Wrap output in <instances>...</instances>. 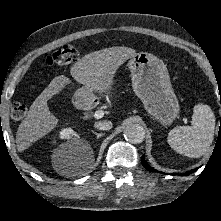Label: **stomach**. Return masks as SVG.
<instances>
[{
  "mask_svg": "<svg viewBox=\"0 0 221 221\" xmlns=\"http://www.w3.org/2000/svg\"><path fill=\"white\" fill-rule=\"evenodd\" d=\"M128 67L133 91L142 100L145 110L162 125L170 126L179 116L180 105L166 65L155 55L140 52L130 58ZM75 97L88 101L92 94L84 87Z\"/></svg>",
  "mask_w": 221,
  "mask_h": 221,
  "instance_id": "stomach-1",
  "label": "stomach"
}]
</instances>
